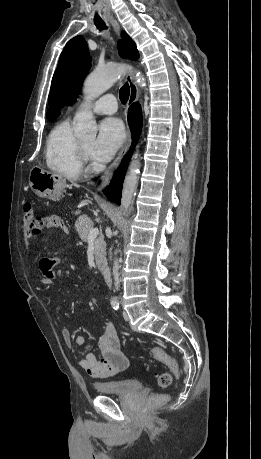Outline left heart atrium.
Segmentation results:
<instances>
[{"label":"left heart atrium","mask_w":261,"mask_h":459,"mask_svg":"<svg viewBox=\"0 0 261 459\" xmlns=\"http://www.w3.org/2000/svg\"><path fill=\"white\" fill-rule=\"evenodd\" d=\"M125 139L123 123L117 118H108L99 125L98 136L94 144L93 156L100 162L109 161Z\"/></svg>","instance_id":"39dd6f15"}]
</instances>
